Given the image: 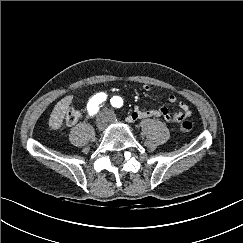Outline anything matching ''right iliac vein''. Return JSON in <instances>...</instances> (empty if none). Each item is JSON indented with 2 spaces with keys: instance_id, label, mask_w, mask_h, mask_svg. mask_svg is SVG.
<instances>
[{
  "instance_id": "right-iliac-vein-1",
  "label": "right iliac vein",
  "mask_w": 243,
  "mask_h": 243,
  "mask_svg": "<svg viewBox=\"0 0 243 243\" xmlns=\"http://www.w3.org/2000/svg\"><path fill=\"white\" fill-rule=\"evenodd\" d=\"M107 116L101 113L96 119V126L99 131H103L107 125Z\"/></svg>"
}]
</instances>
